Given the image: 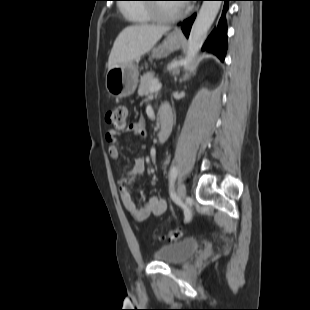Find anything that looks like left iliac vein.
Here are the masks:
<instances>
[{"instance_id": "obj_1", "label": "left iliac vein", "mask_w": 310, "mask_h": 310, "mask_svg": "<svg viewBox=\"0 0 310 310\" xmlns=\"http://www.w3.org/2000/svg\"><path fill=\"white\" fill-rule=\"evenodd\" d=\"M177 195L180 200H184L186 197V188L183 182H179L177 186Z\"/></svg>"}]
</instances>
